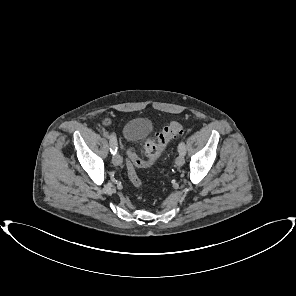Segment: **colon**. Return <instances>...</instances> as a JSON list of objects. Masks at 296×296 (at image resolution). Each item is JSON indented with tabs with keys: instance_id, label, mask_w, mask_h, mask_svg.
<instances>
[{
	"instance_id": "1",
	"label": "colon",
	"mask_w": 296,
	"mask_h": 296,
	"mask_svg": "<svg viewBox=\"0 0 296 296\" xmlns=\"http://www.w3.org/2000/svg\"><path fill=\"white\" fill-rule=\"evenodd\" d=\"M183 130V125L176 121H173L167 125L157 135L155 140H150L145 144V159L140 158L133 147L127 148L128 177L135 187L142 186V182L137 174V169L152 167L165 153L170 141L180 135Z\"/></svg>"
}]
</instances>
